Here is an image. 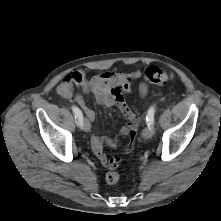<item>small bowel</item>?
Returning <instances> with one entry per match:
<instances>
[{
	"label": "small bowel",
	"mask_w": 221,
	"mask_h": 221,
	"mask_svg": "<svg viewBox=\"0 0 221 221\" xmlns=\"http://www.w3.org/2000/svg\"><path fill=\"white\" fill-rule=\"evenodd\" d=\"M140 77L141 71L135 70L127 73L106 71L91 78H87L86 73L79 70L71 72L64 77L58 86V93L64 98H73L82 107L87 118L91 122H94L96 119L95 111L86 104L81 94H74L75 88H81L85 94H92L97 103L103 106L111 107L117 105L115 101V94L117 90L124 83H127L130 87L131 83ZM138 92L141 97H146L149 93L148 84L145 82H140L138 85ZM136 117L137 116L130 110V117H126L128 123L120 130L116 138L107 137L99 131H95L91 135V149L105 167H109V160L112 158L108 157L104 151V148L106 146L116 148L119 138L128 134L129 129L131 128ZM126 151L129 150L126 149Z\"/></svg>",
	"instance_id": "obj_1"
}]
</instances>
